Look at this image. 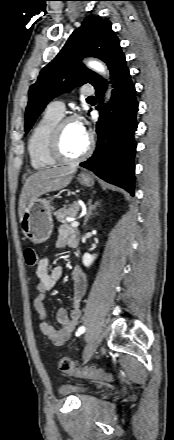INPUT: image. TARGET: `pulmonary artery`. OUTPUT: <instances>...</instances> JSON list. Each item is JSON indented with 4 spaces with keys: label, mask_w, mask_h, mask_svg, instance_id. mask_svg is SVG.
Listing matches in <instances>:
<instances>
[{
    "label": "pulmonary artery",
    "mask_w": 174,
    "mask_h": 440,
    "mask_svg": "<svg viewBox=\"0 0 174 440\" xmlns=\"http://www.w3.org/2000/svg\"><path fill=\"white\" fill-rule=\"evenodd\" d=\"M93 93H94L93 87L85 86L82 89L83 95L89 96V95H92ZM46 110L52 114H55V115L62 117L65 112V104L62 101H53V102L49 103Z\"/></svg>",
    "instance_id": "e3ab8cb5"
}]
</instances>
